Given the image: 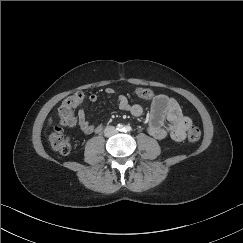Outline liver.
<instances>
[{
  "mask_svg": "<svg viewBox=\"0 0 243 243\" xmlns=\"http://www.w3.org/2000/svg\"><path fill=\"white\" fill-rule=\"evenodd\" d=\"M52 124V118L50 117L49 118V125H51Z\"/></svg>",
  "mask_w": 243,
  "mask_h": 243,
  "instance_id": "liver-1",
  "label": "liver"
}]
</instances>
